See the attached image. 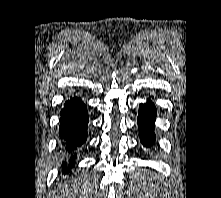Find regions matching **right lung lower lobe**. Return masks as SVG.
Instances as JSON below:
<instances>
[{"label": "right lung lower lobe", "mask_w": 221, "mask_h": 198, "mask_svg": "<svg viewBox=\"0 0 221 198\" xmlns=\"http://www.w3.org/2000/svg\"><path fill=\"white\" fill-rule=\"evenodd\" d=\"M60 115V137L64 140V145L68 151H72L76 147H80L87 139L89 117L86 106L81 99L70 98L65 102ZM75 156H72L68 165L63 163L64 173L74 166Z\"/></svg>", "instance_id": "1"}]
</instances>
